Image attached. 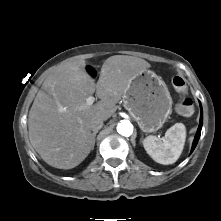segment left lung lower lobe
Here are the masks:
<instances>
[{
	"mask_svg": "<svg viewBox=\"0 0 221 221\" xmlns=\"http://www.w3.org/2000/svg\"><path fill=\"white\" fill-rule=\"evenodd\" d=\"M202 122H203V115H202V109H201L200 123H199V127H198V130H197L195 139H194V141H193V145H192L191 152L195 149V147H196V145H197V143H198V140H199V138H200L201 128H202Z\"/></svg>",
	"mask_w": 221,
	"mask_h": 221,
	"instance_id": "left-lung-lower-lobe-1",
	"label": "left lung lower lobe"
}]
</instances>
